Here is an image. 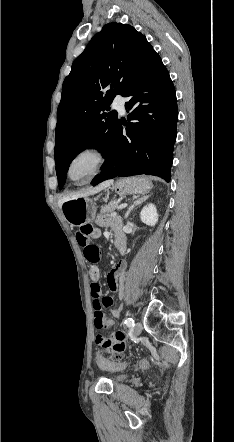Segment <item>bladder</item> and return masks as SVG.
I'll return each instance as SVG.
<instances>
[{
	"label": "bladder",
	"instance_id": "31cf9c89",
	"mask_svg": "<svg viewBox=\"0 0 234 442\" xmlns=\"http://www.w3.org/2000/svg\"><path fill=\"white\" fill-rule=\"evenodd\" d=\"M127 376H128V374L123 372L121 369H115V370H113L112 380L114 382L123 381L124 379L127 378Z\"/></svg>",
	"mask_w": 234,
	"mask_h": 442
}]
</instances>
